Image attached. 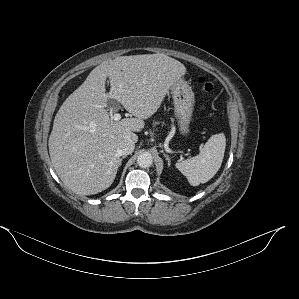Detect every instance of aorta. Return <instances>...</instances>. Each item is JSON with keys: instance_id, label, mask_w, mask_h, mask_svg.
<instances>
[{"instance_id": "1", "label": "aorta", "mask_w": 299, "mask_h": 299, "mask_svg": "<svg viewBox=\"0 0 299 299\" xmlns=\"http://www.w3.org/2000/svg\"><path fill=\"white\" fill-rule=\"evenodd\" d=\"M153 158L152 155L148 152H143L137 157V164L142 168H148L152 165Z\"/></svg>"}]
</instances>
